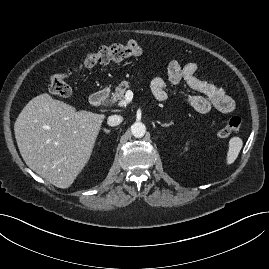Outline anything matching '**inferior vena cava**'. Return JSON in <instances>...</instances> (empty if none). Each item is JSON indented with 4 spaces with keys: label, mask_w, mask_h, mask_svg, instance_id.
<instances>
[{
    "label": "inferior vena cava",
    "mask_w": 269,
    "mask_h": 269,
    "mask_svg": "<svg viewBox=\"0 0 269 269\" xmlns=\"http://www.w3.org/2000/svg\"><path fill=\"white\" fill-rule=\"evenodd\" d=\"M123 121V117L120 115H111L107 119V124L111 127L119 125Z\"/></svg>",
    "instance_id": "inferior-vena-cava-1"
}]
</instances>
